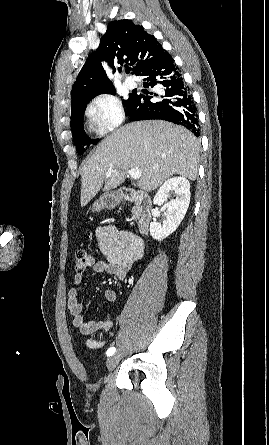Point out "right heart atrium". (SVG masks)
<instances>
[{
  "instance_id": "right-heart-atrium-1",
  "label": "right heart atrium",
  "mask_w": 269,
  "mask_h": 445,
  "mask_svg": "<svg viewBox=\"0 0 269 445\" xmlns=\"http://www.w3.org/2000/svg\"><path fill=\"white\" fill-rule=\"evenodd\" d=\"M85 113L102 133L115 130L124 119V111L119 100L106 93L93 97L88 102Z\"/></svg>"
}]
</instances>
